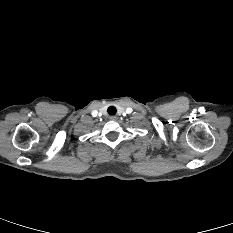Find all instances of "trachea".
I'll return each mask as SVG.
<instances>
[{
	"mask_svg": "<svg viewBox=\"0 0 233 233\" xmlns=\"http://www.w3.org/2000/svg\"><path fill=\"white\" fill-rule=\"evenodd\" d=\"M116 112H117V110H116V108H115L114 106H110V107L108 108V114H109V115H115Z\"/></svg>",
	"mask_w": 233,
	"mask_h": 233,
	"instance_id": "1",
	"label": "trachea"
}]
</instances>
